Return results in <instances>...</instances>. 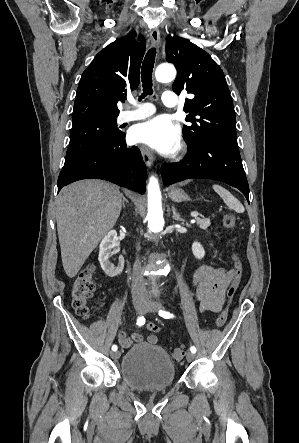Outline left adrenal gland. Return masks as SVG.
<instances>
[{
  "mask_svg": "<svg viewBox=\"0 0 299 443\" xmlns=\"http://www.w3.org/2000/svg\"><path fill=\"white\" fill-rule=\"evenodd\" d=\"M172 212H173V219L174 220L184 222V219L180 217V215L177 213L174 206H172Z\"/></svg>",
  "mask_w": 299,
  "mask_h": 443,
  "instance_id": "1",
  "label": "left adrenal gland"
}]
</instances>
